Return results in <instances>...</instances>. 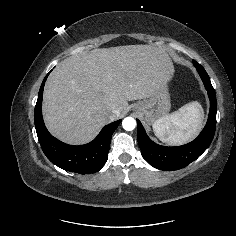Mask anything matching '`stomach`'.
<instances>
[{
    "mask_svg": "<svg viewBox=\"0 0 236 236\" xmlns=\"http://www.w3.org/2000/svg\"><path fill=\"white\" fill-rule=\"evenodd\" d=\"M170 107V94L166 83L153 96L134 104L133 110L143 115L148 124H154L168 114Z\"/></svg>",
    "mask_w": 236,
    "mask_h": 236,
    "instance_id": "stomach-1",
    "label": "stomach"
}]
</instances>
